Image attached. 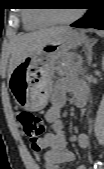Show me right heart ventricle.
I'll return each instance as SVG.
<instances>
[{
  "label": "right heart ventricle",
  "instance_id": "1",
  "mask_svg": "<svg viewBox=\"0 0 104 169\" xmlns=\"http://www.w3.org/2000/svg\"><path fill=\"white\" fill-rule=\"evenodd\" d=\"M22 17H23L24 25L28 29L45 27L52 23L41 12L38 11L24 12Z\"/></svg>",
  "mask_w": 104,
  "mask_h": 169
}]
</instances>
